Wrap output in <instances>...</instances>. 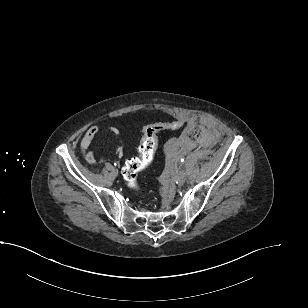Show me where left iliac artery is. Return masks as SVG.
Returning <instances> with one entry per match:
<instances>
[{
    "mask_svg": "<svg viewBox=\"0 0 308 308\" xmlns=\"http://www.w3.org/2000/svg\"><path fill=\"white\" fill-rule=\"evenodd\" d=\"M181 162H184V159H183V158L181 159Z\"/></svg>",
    "mask_w": 308,
    "mask_h": 308,
    "instance_id": "1",
    "label": "left iliac artery"
}]
</instances>
